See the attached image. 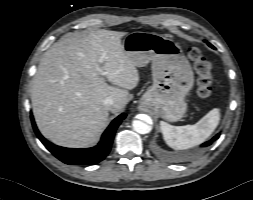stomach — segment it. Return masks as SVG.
Returning <instances> with one entry per match:
<instances>
[{"label": "stomach", "instance_id": "0dacf381", "mask_svg": "<svg viewBox=\"0 0 253 200\" xmlns=\"http://www.w3.org/2000/svg\"><path fill=\"white\" fill-rule=\"evenodd\" d=\"M123 48L136 67L152 62L153 86L141 97V105L157 117L180 120L187 110L185 97L194 83L180 46L156 33L132 32L123 40Z\"/></svg>", "mask_w": 253, "mask_h": 200}]
</instances>
